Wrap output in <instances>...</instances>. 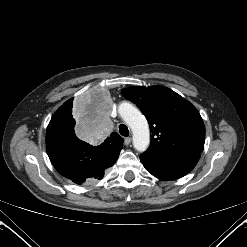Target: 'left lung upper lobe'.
<instances>
[{
    "mask_svg": "<svg viewBox=\"0 0 247 247\" xmlns=\"http://www.w3.org/2000/svg\"><path fill=\"white\" fill-rule=\"evenodd\" d=\"M122 94L147 118L151 133L147 151L167 155L203 151L204 123L189 101L163 86H134L123 89Z\"/></svg>",
    "mask_w": 247,
    "mask_h": 247,
    "instance_id": "obj_1",
    "label": "left lung upper lobe"
}]
</instances>
